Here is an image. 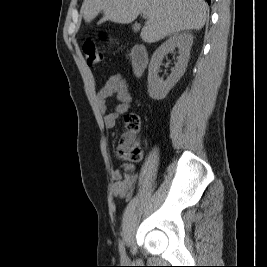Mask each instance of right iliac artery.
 I'll use <instances>...</instances> for the list:
<instances>
[{"instance_id":"1","label":"right iliac artery","mask_w":267,"mask_h":267,"mask_svg":"<svg viewBox=\"0 0 267 267\" xmlns=\"http://www.w3.org/2000/svg\"><path fill=\"white\" fill-rule=\"evenodd\" d=\"M119 252H120L121 257L125 255V247H124L123 241H120L119 243Z\"/></svg>"}]
</instances>
